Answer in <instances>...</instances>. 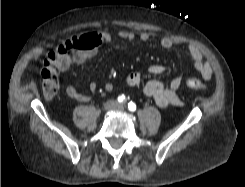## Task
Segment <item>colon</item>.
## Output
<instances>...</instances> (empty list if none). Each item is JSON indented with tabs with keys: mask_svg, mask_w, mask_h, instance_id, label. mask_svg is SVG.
I'll use <instances>...</instances> for the list:
<instances>
[{
	"mask_svg": "<svg viewBox=\"0 0 245 187\" xmlns=\"http://www.w3.org/2000/svg\"><path fill=\"white\" fill-rule=\"evenodd\" d=\"M83 49H85V36L74 35L59 43L53 51L49 52L50 55L45 59L40 73L42 91L45 97L53 98L58 93L59 64L65 62L74 50ZM185 84L190 89L208 90V86L205 83L193 77H188L185 80Z\"/></svg>",
	"mask_w": 245,
	"mask_h": 187,
	"instance_id": "1",
	"label": "colon"
}]
</instances>
